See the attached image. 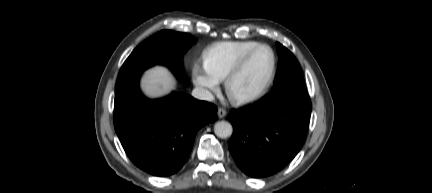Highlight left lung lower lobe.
I'll return each instance as SVG.
<instances>
[{
  "instance_id": "left-lung-lower-lobe-1",
  "label": "left lung lower lobe",
  "mask_w": 432,
  "mask_h": 193,
  "mask_svg": "<svg viewBox=\"0 0 432 193\" xmlns=\"http://www.w3.org/2000/svg\"><path fill=\"white\" fill-rule=\"evenodd\" d=\"M311 113L307 93L278 92L253 108L231 111L229 150L247 175L255 178L281 170L301 149Z\"/></svg>"
}]
</instances>
